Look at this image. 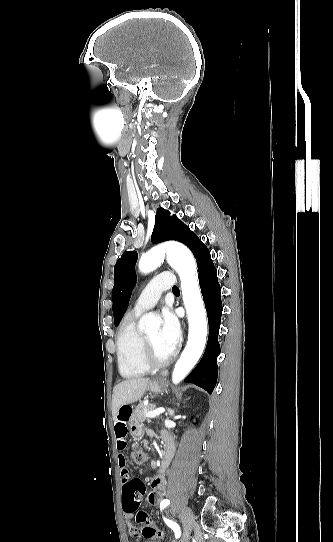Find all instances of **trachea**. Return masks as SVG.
Here are the masks:
<instances>
[{"mask_svg": "<svg viewBox=\"0 0 333 542\" xmlns=\"http://www.w3.org/2000/svg\"><path fill=\"white\" fill-rule=\"evenodd\" d=\"M172 290H179L176 285L173 286Z\"/></svg>", "mask_w": 333, "mask_h": 542, "instance_id": "trachea-1", "label": "trachea"}]
</instances>
